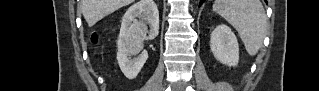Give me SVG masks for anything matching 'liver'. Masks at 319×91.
<instances>
[{
    "mask_svg": "<svg viewBox=\"0 0 319 91\" xmlns=\"http://www.w3.org/2000/svg\"><path fill=\"white\" fill-rule=\"evenodd\" d=\"M134 0H81V10L89 27L94 26L104 17L129 5Z\"/></svg>",
    "mask_w": 319,
    "mask_h": 91,
    "instance_id": "6515ba94",
    "label": "liver"
}]
</instances>
